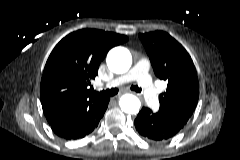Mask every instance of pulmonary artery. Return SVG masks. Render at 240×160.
I'll use <instances>...</instances> for the list:
<instances>
[{
	"label": "pulmonary artery",
	"instance_id": "e3ab8cb5",
	"mask_svg": "<svg viewBox=\"0 0 240 160\" xmlns=\"http://www.w3.org/2000/svg\"><path fill=\"white\" fill-rule=\"evenodd\" d=\"M150 62L146 58H141L134 66L124 75L112 80L108 83L109 86H119L132 81H136L142 89L144 99L148 105L156 109L159 106L157 88L152 82L148 71Z\"/></svg>",
	"mask_w": 240,
	"mask_h": 160
}]
</instances>
